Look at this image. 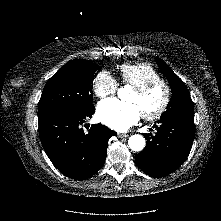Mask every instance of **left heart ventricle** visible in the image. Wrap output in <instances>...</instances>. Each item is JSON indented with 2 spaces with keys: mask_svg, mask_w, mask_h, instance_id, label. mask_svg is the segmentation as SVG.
Listing matches in <instances>:
<instances>
[{
  "mask_svg": "<svg viewBox=\"0 0 221 221\" xmlns=\"http://www.w3.org/2000/svg\"><path fill=\"white\" fill-rule=\"evenodd\" d=\"M164 97V92L161 88H156L145 96H139L134 90L127 98L128 102L137 105L141 113L152 112L156 110Z\"/></svg>",
  "mask_w": 221,
  "mask_h": 221,
  "instance_id": "1",
  "label": "left heart ventricle"
}]
</instances>
